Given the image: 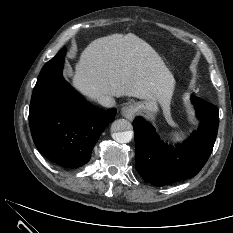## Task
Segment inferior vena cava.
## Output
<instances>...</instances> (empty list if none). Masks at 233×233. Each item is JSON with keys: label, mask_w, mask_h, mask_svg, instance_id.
<instances>
[{"label": "inferior vena cava", "mask_w": 233, "mask_h": 233, "mask_svg": "<svg viewBox=\"0 0 233 233\" xmlns=\"http://www.w3.org/2000/svg\"><path fill=\"white\" fill-rule=\"evenodd\" d=\"M98 102L105 107H113L115 105V100L113 97L105 95L98 98Z\"/></svg>", "instance_id": "obj_1"}]
</instances>
